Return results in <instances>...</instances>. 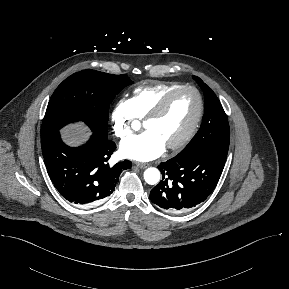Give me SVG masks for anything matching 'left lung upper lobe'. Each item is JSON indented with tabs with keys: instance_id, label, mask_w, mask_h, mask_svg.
Here are the masks:
<instances>
[{
	"instance_id": "left-lung-upper-lobe-1",
	"label": "left lung upper lobe",
	"mask_w": 289,
	"mask_h": 289,
	"mask_svg": "<svg viewBox=\"0 0 289 289\" xmlns=\"http://www.w3.org/2000/svg\"><path fill=\"white\" fill-rule=\"evenodd\" d=\"M204 91L205 108L201 127L188 145L175 157L182 159L194 152L208 149L228 150L230 129L225 111L215 93L203 81L193 76Z\"/></svg>"
}]
</instances>
